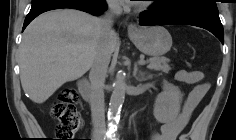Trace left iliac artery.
<instances>
[{"mask_svg":"<svg viewBox=\"0 0 236 140\" xmlns=\"http://www.w3.org/2000/svg\"><path fill=\"white\" fill-rule=\"evenodd\" d=\"M111 140H118V138H116L115 136H112Z\"/></svg>","mask_w":236,"mask_h":140,"instance_id":"1","label":"left iliac artery"}]
</instances>
